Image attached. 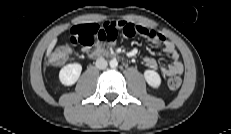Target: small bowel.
Returning a JSON list of instances; mask_svg holds the SVG:
<instances>
[{"label": "small bowel", "mask_w": 231, "mask_h": 134, "mask_svg": "<svg viewBox=\"0 0 231 134\" xmlns=\"http://www.w3.org/2000/svg\"><path fill=\"white\" fill-rule=\"evenodd\" d=\"M118 31H122L126 37L142 36L154 44L161 45L164 52L170 55L171 63L166 66H158L154 58H144V64L149 68L158 69L165 76L180 75L183 72V64L179 53L170 39L152 29L128 21H107L103 24L75 25L70 30V43L74 46L82 45L83 52L89 53L92 49H99L104 44H113Z\"/></svg>", "instance_id": "1"}]
</instances>
